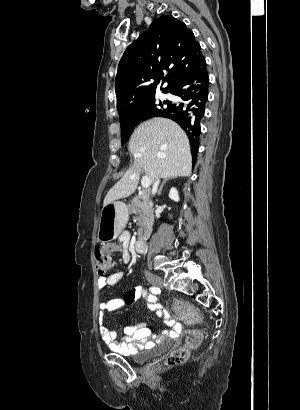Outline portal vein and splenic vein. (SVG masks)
Listing matches in <instances>:
<instances>
[{"instance_id": "18ae733b", "label": "portal vein and splenic vein", "mask_w": 300, "mask_h": 410, "mask_svg": "<svg viewBox=\"0 0 300 410\" xmlns=\"http://www.w3.org/2000/svg\"><path fill=\"white\" fill-rule=\"evenodd\" d=\"M151 182L147 176H144L141 180V185L143 189H147L150 186Z\"/></svg>"}]
</instances>
